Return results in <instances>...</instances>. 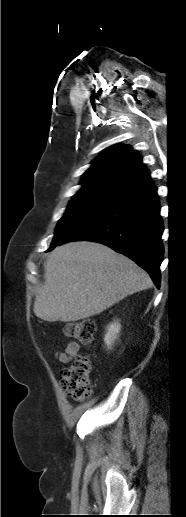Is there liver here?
Listing matches in <instances>:
<instances>
[{"mask_svg": "<svg viewBox=\"0 0 186 517\" xmlns=\"http://www.w3.org/2000/svg\"><path fill=\"white\" fill-rule=\"evenodd\" d=\"M151 286L146 271L124 255L95 242H71L49 254L33 310L44 321H77Z\"/></svg>", "mask_w": 186, "mask_h": 517, "instance_id": "1", "label": "liver"}]
</instances>
